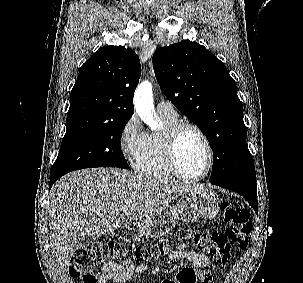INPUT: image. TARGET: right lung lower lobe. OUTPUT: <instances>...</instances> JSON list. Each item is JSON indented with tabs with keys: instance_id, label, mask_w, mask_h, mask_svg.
I'll list each match as a JSON object with an SVG mask.
<instances>
[{
	"instance_id": "98d812e1",
	"label": "right lung lower lobe",
	"mask_w": 303,
	"mask_h": 283,
	"mask_svg": "<svg viewBox=\"0 0 303 283\" xmlns=\"http://www.w3.org/2000/svg\"><path fill=\"white\" fill-rule=\"evenodd\" d=\"M63 175H65V173H51V175H50V182H49V189Z\"/></svg>"
}]
</instances>
